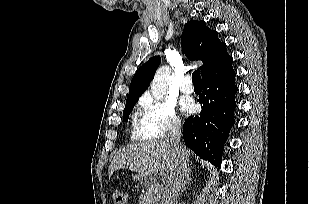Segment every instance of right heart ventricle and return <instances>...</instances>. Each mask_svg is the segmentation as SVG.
<instances>
[{
    "label": "right heart ventricle",
    "instance_id": "obj_1",
    "mask_svg": "<svg viewBox=\"0 0 309 204\" xmlns=\"http://www.w3.org/2000/svg\"><path fill=\"white\" fill-rule=\"evenodd\" d=\"M132 124H133L135 131H136V135L138 137H141L140 131H141L142 124H143V118H141L137 112L133 116Z\"/></svg>",
    "mask_w": 309,
    "mask_h": 204
}]
</instances>
